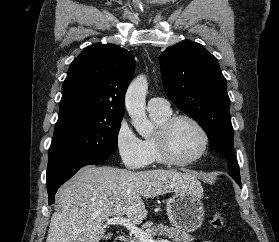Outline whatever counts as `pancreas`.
Instances as JSON below:
<instances>
[{
    "instance_id": "pancreas-1",
    "label": "pancreas",
    "mask_w": 279,
    "mask_h": 242,
    "mask_svg": "<svg viewBox=\"0 0 279 242\" xmlns=\"http://www.w3.org/2000/svg\"><path fill=\"white\" fill-rule=\"evenodd\" d=\"M151 236H162L171 239L173 242H191L194 240L190 234L177 228H170L162 223L156 224L146 230ZM130 242H141L137 237L133 238Z\"/></svg>"
}]
</instances>
